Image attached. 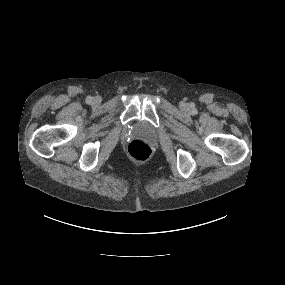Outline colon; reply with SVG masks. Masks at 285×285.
Here are the masks:
<instances>
[{"instance_id": "5ec220e1", "label": "colon", "mask_w": 285, "mask_h": 285, "mask_svg": "<svg viewBox=\"0 0 285 285\" xmlns=\"http://www.w3.org/2000/svg\"><path fill=\"white\" fill-rule=\"evenodd\" d=\"M128 153L136 161H145L151 155V148L144 141L134 140L128 146Z\"/></svg>"}]
</instances>
